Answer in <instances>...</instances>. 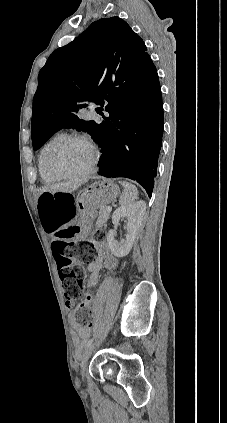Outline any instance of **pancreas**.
<instances>
[{
    "label": "pancreas",
    "mask_w": 227,
    "mask_h": 423,
    "mask_svg": "<svg viewBox=\"0 0 227 423\" xmlns=\"http://www.w3.org/2000/svg\"><path fill=\"white\" fill-rule=\"evenodd\" d=\"M107 206H99V217L96 221V225H102L106 219H108L109 211L106 210Z\"/></svg>",
    "instance_id": "obj_1"
}]
</instances>
